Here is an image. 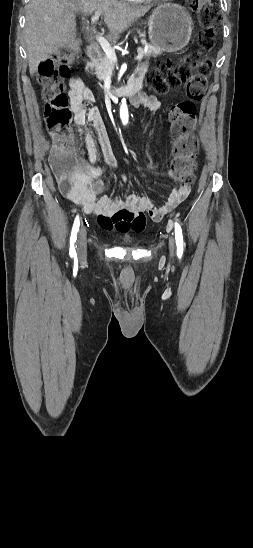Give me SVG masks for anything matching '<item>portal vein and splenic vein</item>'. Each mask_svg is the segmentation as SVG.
<instances>
[{
    "instance_id": "18ae733b",
    "label": "portal vein and splenic vein",
    "mask_w": 253,
    "mask_h": 548,
    "mask_svg": "<svg viewBox=\"0 0 253 548\" xmlns=\"http://www.w3.org/2000/svg\"><path fill=\"white\" fill-rule=\"evenodd\" d=\"M101 13L99 11H96L95 14L92 16L91 21L95 22L99 19ZM96 41L99 43L101 48L103 49L105 55L109 58V60L115 64L117 63V57L115 54L114 49H112L109 42L102 36H96ZM143 58V55L141 53H138V55L135 57L136 60H141Z\"/></svg>"
}]
</instances>
